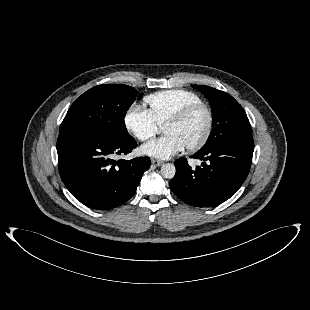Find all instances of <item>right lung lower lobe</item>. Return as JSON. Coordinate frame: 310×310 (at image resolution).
Wrapping results in <instances>:
<instances>
[{
	"instance_id": "obj_1",
	"label": "right lung lower lobe",
	"mask_w": 310,
	"mask_h": 310,
	"mask_svg": "<svg viewBox=\"0 0 310 310\" xmlns=\"http://www.w3.org/2000/svg\"><path fill=\"white\" fill-rule=\"evenodd\" d=\"M133 137L113 140L81 131L59 133L57 153L62 181L84 205L98 210L120 206L136 192L149 157L114 160L136 148Z\"/></svg>"
}]
</instances>
